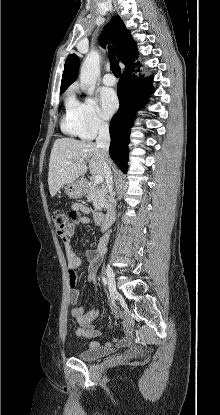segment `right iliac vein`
I'll return each mask as SVG.
<instances>
[{"instance_id":"right-iliac-vein-1","label":"right iliac vein","mask_w":220,"mask_h":415,"mask_svg":"<svg viewBox=\"0 0 220 415\" xmlns=\"http://www.w3.org/2000/svg\"><path fill=\"white\" fill-rule=\"evenodd\" d=\"M105 273H106V277H107V281H108L110 294H111L113 300H116L119 297V293H118L117 288H116L114 273H113V270L111 269L110 266L106 267Z\"/></svg>"}]
</instances>
